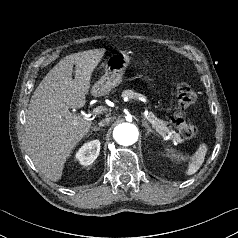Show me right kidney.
Masks as SVG:
<instances>
[{
	"label": "right kidney",
	"mask_w": 238,
	"mask_h": 238,
	"mask_svg": "<svg viewBox=\"0 0 238 238\" xmlns=\"http://www.w3.org/2000/svg\"><path fill=\"white\" fill-rule=\"evenodd\" d=\"M100 152V141L92 140L85 143L76 153L75 157L83 166H88L95 161Z\"/></svg>",
	"instance_id": "right-kidney-1"
}]
</instances>
